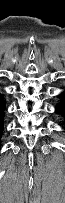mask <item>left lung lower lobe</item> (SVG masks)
I'll return each mask as SVG.
<instances>
[{"label": "left lung lower lobe", "mask_w": 65, "mask_h": 203, "mask_svg": "<svg viewBox=\"0 0 65 203\" xmlns=\"http://www.w3.org/2000/svg\"><path fill=\"white\" fill-rule=\"evenodd\" d=\"M59 98L61 99L59 104L56 106L55 111L56 113L60 114L64 118V125H65V91L63 95H60ZM65 129V126H64Z\"/></svg>", "instance_id": "1"}]
</instances>
